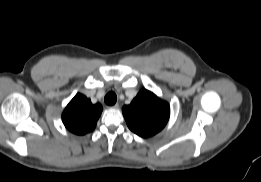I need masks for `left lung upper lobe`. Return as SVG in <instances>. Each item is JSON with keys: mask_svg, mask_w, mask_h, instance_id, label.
<instances>
[{"mask_svg": "<svg viewBox=\"0 0 261 182\" xmlns=\"http://www.w3.org/2000/svg\"><path fill=\"white\" fill-rule=\"evenodd\" d=\"M131 131L141 137H150L161 131L167 124L170 108L154 93L144 89L122 109Z\"/></svg>", "mask_w": 261, "mask_h": 182, "instance_id": "obj_1", "label": "left lung upper lobe"}]
</instances>
